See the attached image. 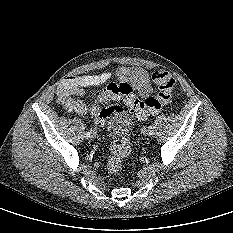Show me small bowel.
<instances>
[{"label": "small bowel", "instance_id": "small-bowel-1", "mask_svg": "<svg viewBox=\"0 0 233 233\" xmlns=\"http://www.w3.org/2000/svg\"><path fill=\"white\" fill-rule=\"evenodd\" d=\"M116 82H109L112 76ZM104 85L97 103L106 104L111 100L122 98L119 91L121 85H127L132 91L145 98L152 93V80L149 73L136 66H122L114 72H102L100 74H88L75 77H68L57 89L59 102L69 112L85 115L89 112L94 113L95 108L88 103L74 98L83 95L86 89Z\"/></svg>", "mask_w": 233, "mask_h": 233}]
</instances>
